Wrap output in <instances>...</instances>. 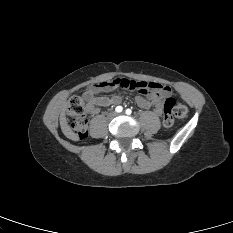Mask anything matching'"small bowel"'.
I'll return each instance as SVG.
<instances>
[{"mask_svg": "<svg viewBox=\"0 0 233 233\" xmlns=\"http://www.w3.org/2000/svg\"><path fill=\"white\" fill-rule=\"evenodd\" d=\"M141 83L145 84L149 90L146 92H138V94L134 96L135 102L142 108H153L156 114H162V99L171 94V89L157 83ZM104 85L105 82L93 85L83 93L87 101V112L92 116L99 113L100 107L120 104L122 101V94L120 91L113 88H106Z\"/></svg>", "mask_w": 233, "mask_h": 233, "instance_id": "obj_1", "label": "small bowel"}]
</instances>
